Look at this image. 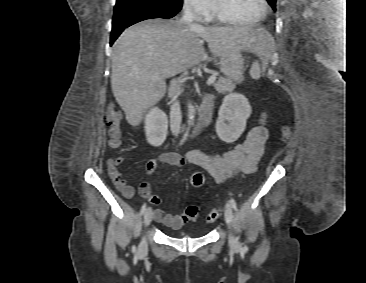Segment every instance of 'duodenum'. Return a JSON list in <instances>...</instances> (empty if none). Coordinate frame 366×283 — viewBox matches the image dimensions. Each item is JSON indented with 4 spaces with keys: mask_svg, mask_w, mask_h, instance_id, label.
<instances>
[{
    "mask_svg": "<svg viewBox=\"0 0 366 283\" xmlns=\"http://www.w3.org/2000/svg\"><path fill=\"white\" fill-rule=\"evenodd\" d=\"M214 107V102L212 98H206L200 108V113L196 121V129L198 131L204 130L211 120V115Z\"/></svg>",
    "mask_w": 366,
    "mask_h": 283,
    "instance_id": "obj_1",
    "label": "duodenum"
}]
</instances>
